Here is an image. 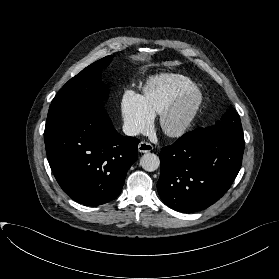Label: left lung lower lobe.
<instances>
[{
  "label": "left lung lower lobe",
  "mask_w": 279,
  "mask_h": 279,
  "mask_svg": "<svg viewBox=\"0 0 279 279\" xmlns=\"http://www.w3.org/2000/svg\"><path fill=\"white\" fill-rule=\"evenodd\" d=\"M243 152L244 141L226 133H186L160 152V198L178 212L208 208L230 188Z\"/></svg>",
  "instance_id": "left-lung-lower-lobe-1"
}]
</instances>
